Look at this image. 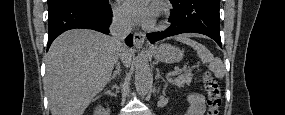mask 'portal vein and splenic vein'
Segmentation results:
<instances>
[{
  "mask_svg": "<svg viewBox=\"0 0 285 115\" xmlns=\"http://www.w3.org/2000/svg\"><path fill=\"white\" fill-rule=\"evenodd\" d=\"M181 72V70H175V71H172V72H168L167 75L168 76H173V75H177Z\"/></svg>",
  "mask_w": 285,
  "mask_h": 115,
  "instance_id": "portal-vein-and-splenic-vein-1",
  "label": "portal vein and splenic vein"
}]
</instances>
